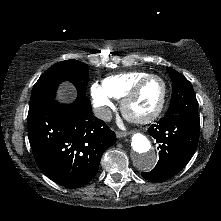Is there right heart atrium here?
<instances>
[{
  "label": "right heart atrium",
  "mask_w": 221,
  "mask_h": 221,
  "mask_svg": "<svg viewBox=\"0 0 221 221\" xmlns=\"http://www.w3.org/2000/svg\"><path fill=\"white\" fill-rule=\"evenodd\" d=\"M90 95L97 115L103 120L109 119L113 103L103 86L97 83L92 84Z\"/></svg>",
  "instance_id": "right-heart-atrium-1"
}]
</instances>
